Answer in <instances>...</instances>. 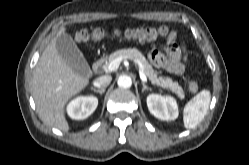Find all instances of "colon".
I'll list each match as a JSON object with an SVG mask.
<instances>
[{
	"label": "colon",
	"mask_w": 249,
	"mask_h": 165,
	"mask_svg": "<svg viewBox=\"0 0 249 165\" xmlns=\"http://www.w3.org/2000/svg\"><path fill=\"white\" fill-rule=\"evenodd\" d=\"M166 26L160 27H143V28H132L126 29L124 31L116 30L109 34L107 31L103 29H94L92 31L82 30L76 34V40L81 43H88L90 41H101L109 36H112L116 39H126L128 41H149L154 40L158 37H164L171 33ZM189 89L192 92H196L198 90V84L195 81H190Z\"/></svg>",
	"instance_id": "colon-1"
}]
</instances>
